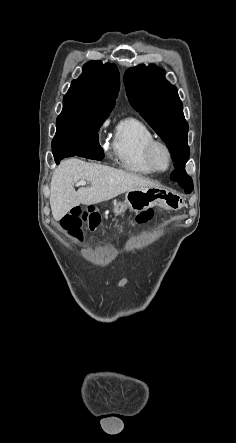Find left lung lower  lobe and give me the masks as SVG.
<instances>
[{
    "label": "left lung lower lobe",
    "mask_w": 236,
    "mask_h": 443,
    "mask_svg": "<svg viewBox=\"0 0 236 443\" xmlns=\"http://www.w3.org/2000/svg\"><path fill=\"white\" fill-rule=\"evenodd\" d=\"M171 179L175 182H178V184L185 190V193L188 194L193 190L192 179L186 173L185 167L174 170L171 174Z\"/></svg>",
    "instance_id": "left-lung-lower-lobe-1"
}]
</instances>
